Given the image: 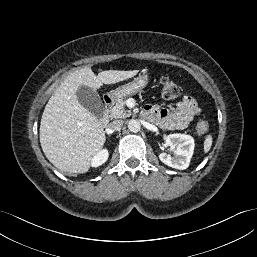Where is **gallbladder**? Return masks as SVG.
I'll list each match as a JSON object with an SVG mask.
<instances>
[{
  "label": "gallbladder",
  "mask_w": 257,
  "mask_h": 257,
  "mask_svg": "<svg viewBox=\"0 0 257 257\" xmlns=\"http://www.w3.org/2000/svg\"><path fill=\"white\" fill-rule=\"evenodd\" d=\"M78 102L90 111L97 118H101L104 113V105L99 94L92 88L80 86L76 92Z\"/></svg>",
  "instance_id": "1"
}]
</instances>
